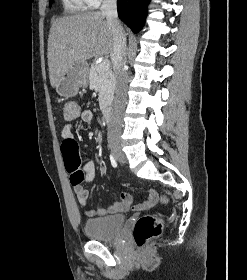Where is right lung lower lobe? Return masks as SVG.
<instances>
[{"label":"right lung lower lobe","mask_w":247,"mask_h":280,"mask_svg":"<svg viewBox=\"0 0 247 280\" xmlns=\"http://www.w3.org/2000/svg\"><path fill=\"white\" fill-rule=\"evenodd\" d=\"M150 0H117L118 16L134 33L139 32L145 22Z\"/></svg>","instance_id":"obj_1"}]
</instances>
